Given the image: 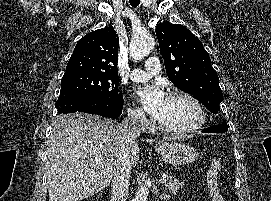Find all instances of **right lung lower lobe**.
Returning a JSON list of instances; mask_svg holds the SVG:
<instances>
[{"mask_svg": "<svg viewBox=\"0 0 271 201\" xmlns=\"http://www.w3.org/2000/svg\"><path fill=\"white\" fill-rule=\"evenodd\" d=\"M58 113L84 112L104 117L116 118L123 109V96L97 98L85 95H60L55 103Z\"/></svg>", "mask_w": 271, "mask_h": 201, "instance_id": "obj_1", "label": "right lung lower lobe"}]
</instances>
